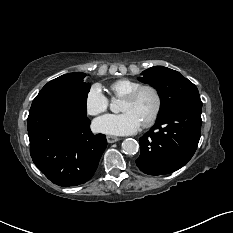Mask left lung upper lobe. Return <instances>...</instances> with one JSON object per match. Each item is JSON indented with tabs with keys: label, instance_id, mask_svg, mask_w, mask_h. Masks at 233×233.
Masks as SVG:
<instances>
[{
	"label": "left lung upper lobe",
	"instance_id": "obj_1",
	"mask_svg": "<svg viewBox=\"0 0 233 233\" xmlns=\"http://www.w3.org/2000/svg\"><path fill=\"white\" fill-rule=\"evenodd\" d=\"M142 75L139 80L158 91L161 99L159 116L183 107H202L198 89L179 72L155 66L143 71Z\"/></svg>",
	"mask_w": 233,
	"mask_h": 233
}]
</instances>
